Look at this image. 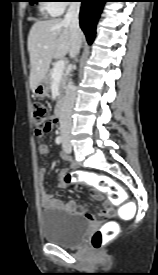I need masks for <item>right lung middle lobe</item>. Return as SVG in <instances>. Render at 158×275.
<instances>
[{
    "label": "right lung middle lobe",
    "mask_w": 158,
    "mask_h": 275,
    "mask_svg": "<svg viewBox=\"0 0 158 275\" xmlns=\"http://www.w3.org/2000/svg\"><path fill=\"white\" fill-rule=\"evenodd\" d=\"M30 3H31V4H34V3H36V2H35V0H30Z\"/></svg>",
    "instance_id": "obj_1"
}]
</instances>
